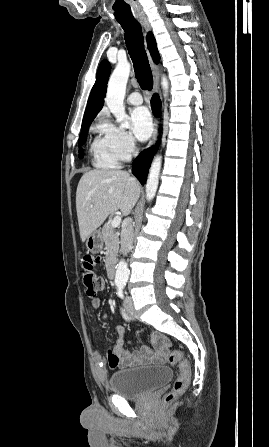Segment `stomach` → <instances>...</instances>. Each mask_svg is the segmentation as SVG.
Returning a JSON list of instances; mask_svg holds the SVG:
<instances>
[{
    "label": "stomach",
    "instance_id": "stomach-1",
    "mask_svg": "<svg viewBox=\"0 0 269 447\" xmlns=\"http://www.w3.org/2000/svg\"><path fill=\"white\" fill-rule=\"evenodd\" d=\"M103 245L104 237L101 229H95V231H92V233L86 237V247L89 251H92V253L101 251Z\"/></svg>",
    "mask_w": 269,
    "mask_h": 447
}]
</instances>
